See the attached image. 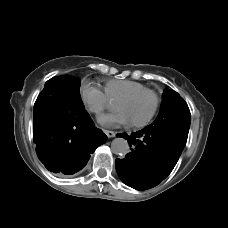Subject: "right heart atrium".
Wrapping results in <instances>:
<instances>
[{"instance_id":"obj_1","label":"right heart atrium","mask_w":228,"mask_h":228,"mask_svg":"<svg viewBox=\"0 0 228 228\" xmlns=\"http://www.w3.org/2000/svg\"><path fill=\"white\" fill-rule=\"evenodd\" d=\"M81 96L88 110L93 113L98 114L105 109H111L113 107L112 102L107 96L94 86H83Z\"/></svg>"}]
</instances>
